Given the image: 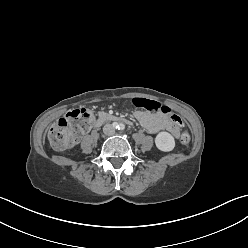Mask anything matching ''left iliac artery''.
<instances>
[{
    "mask_svg": "<svg viewBox=\"0 0 248 248\" xmlns=\"http://www.w3.org/2000/svg\"><path fill=\"white\" fill-rule=\"evenodd\" d=\"M121 130H123L124 129V127L123 126H121V128H120Z\"/></svg>",
    "mask_w": 248,
    "mask_h": 248,
    "instance_id": "left-iliac-artery-1",
    "label": "left iliac artery"
}]
</instances>
